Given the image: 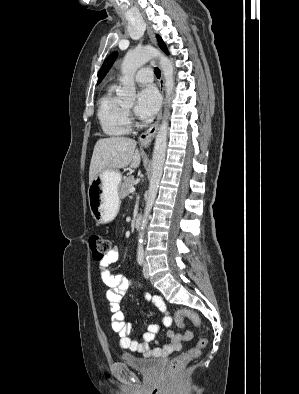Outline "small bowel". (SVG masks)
<instances>
[{
	"instance_id": "c3829d8e",
	"label": "small bowel",
	"mask_w": 299,
	"mask_h": 394,
	"mask_svg": "<svg viewBox=\"0 0 299 394\" xmlns=\"http://www.w3.org/2000/svg\"><path fill=\"white\" fill-rule=\"evenodd\" d=\"M119 257V247L113 244L106 255V257L101 260L98 264L99 275L107 286L106 297L109 301L110 310L112 315V329L120 337V346L124 349H129L133 352H137L144 357H161L167 354L179 351L182 348V343L192 339L193 335L190 331H173L169 330L167 332L170 342L159 346L157 345L153 349L149 347V343L154 341L155 334L159 331L160 325L149 324L146 327V331L139 341L130 338V333L132 331V325L125 321V315L120 311L119 302L128 292L131 286L136 285V281L132 278L125 277L123 275L112 274L108 267L115 263ZM146 301L151 302L159 310L163 316V325L170 326L172 323V317L167 311V306L163 298L159 295H151L146 293L144 295ZM182 325L183 322H178Z\"/></svg>"
}]
</instances>
